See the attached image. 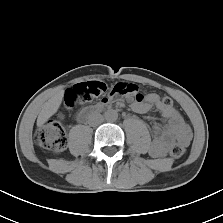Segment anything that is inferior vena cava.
<instances>
[{
    "instance_id": "1",
    "label": "inferior vena cava",
    "mask_w": 223,
    "mask_h": 223,
    "mask_svg": "<svg viewBox=\"0 0 223 223\" xmlns=\"http://www.w3.org/2000/svg\"><path fill=\"white\" fill-rule=\"evenodd\" d=\"M104 118L101 114H95L90 120V125L97 126L103 122Z\"/></svg>"
}]
</instances>
